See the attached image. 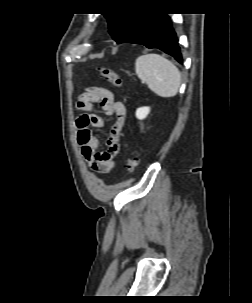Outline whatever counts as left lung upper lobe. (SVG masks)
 Here are the masks:
<instances>
[{"label":"left lung upper lobe","mask_w":252,"mask_h":303,"mask_svg":"<svg viewBox=\"0 0 252 303\" xmlns=\"http://www.w3.org/2000/svg\"><path fill=\"white\" fill-rule=\"evenodd\" d=\"M109 25V33L118 43L140 22L146 13L104 14Z\"/></svg>","instance_id":"1"}]
</instances>
